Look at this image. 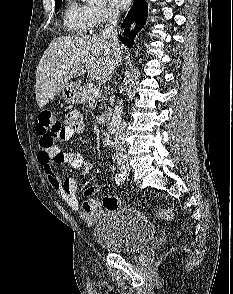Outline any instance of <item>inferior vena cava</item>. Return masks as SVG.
Returning <instances> with one entry per match:
<instances>
[{
    "mask_svg": "<svg viewBox=\"0 0 233 294\" xmlns=\"http://www.w3.org/2000/svg\"><path fill=\"white\" fill-rule=\"evenodd\" d=\"M118 16H119V11L117 9H114V8L110 9L109 23L106 25L103 31V37L105 39L110 40L114 44H118V40H117ZM124 131H125V128H124V125H122L117 131V133L115 134L114 148H115V155H116L118 165L128 164Z\"/></svg>",
    "mask_w": 233,
    "mask_h": 294,
    "instance_id": "1",
    "label": "inferior vena cava"
}]
</instances>
